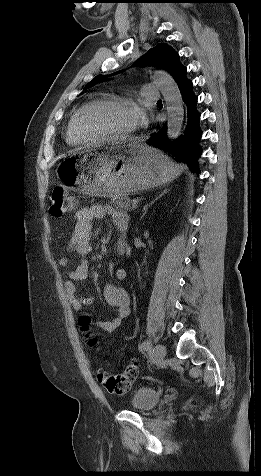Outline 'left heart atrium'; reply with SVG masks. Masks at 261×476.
<instances>
[{"instance_id": "1", "label": "left heart atrium", "mask_w": 261, "mask_h": 476, "mask_svg": "<svg viewBox=\"0 0 261 476\" xmlns=\"http://www.w3.org/2000/svg\"><path fill=\"white\" fill-rule=\"evenodd\" d=\"M134 112H135V116H136V125H135V127L145 126L146 123H147V119H146L145 114L139 108L134 109Z\"/></svg>"}]
</instances>
